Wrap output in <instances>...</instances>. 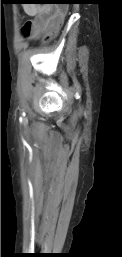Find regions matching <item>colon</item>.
Instances as JSON below:
<instances>
[{"label":"colon","mask_w":122,"mask_h":257,"mask_svg":"<svg viewBox=\"0 0 122 257\" xmlns=\"http://www.w3.org/2000/svg\"><path fill=\"white\" fill-rule=\"evenodd\" d=\"M72 6L71 2H59L57 9L59 11H57V21H55L54 26L50 27V30H48V34H46V39L45 42L50 41V39H56V35H61L62 34V29H63V24L66 23V16L68 15V13L71 12V9L69 7ZM23 34L25 36L27 35V26L24 25L23 27Z\"/></svg>","instance_id":"1"}]
</instances>
